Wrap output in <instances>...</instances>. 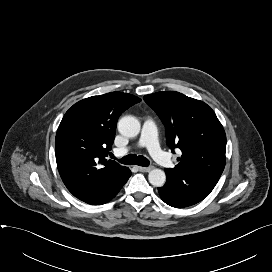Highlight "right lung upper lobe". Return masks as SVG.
<instances>
[{
	"label": "right lung upper lobe",
	"instance_id": "obj_1",
	"mask_svg": "<svg viewBox=\"0 0 272 272\" xmlns=\"http://www.w3.org/2000/svg\"><path fill=\"white\" fill-rule=\"evenodd\" d=\"M140 101L131 94L111 92L83 99L65 113L55 139L56 162L65 186L78 199L95 200L129 173L106 157L119 116Z\"/></svg>",
	"mask_w": 272,
	"mask_h": 272
}]
</instances>
